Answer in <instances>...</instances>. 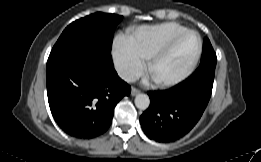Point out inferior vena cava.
Masks as SVG:
<instances>
[{
	"mask_svg": "<svg viewBox=\"0 0 261 162\" xmlns=\"http://www.w3.org/2000/svg\"><path fill=\"white\" fill-rule=\"evenodd\" d=\"M117 72L118 75L126 82H135L138 79V76L129 69L119 68Z\"/></svg>",
	"mask_w": 261,
	"mask_h": 162,
	"instance_id": "inferior-vena-cava-1",
	"label": "inferior vena cava"
}]
</instances>
